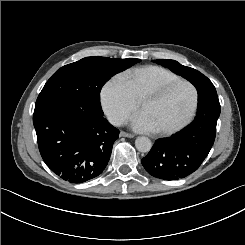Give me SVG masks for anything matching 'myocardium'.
I'll list each match as a JSON object with an SVG mask.
<instances>
[{
	"mask_svg": "<svg viewBox=\"0 0 245 245\" xmlns=\"http://www.w3.org/2000/svg\"><path fill=\"white\" fill-rule=\"evenodd\" d=\"M180 85H186L191 91L192 102H191L189 112L183 120H181L178 124L174 125L173 127L166 128V129H157L156 132L160 135H163V136L172 135L180 131L181 129H183L185 126H187L191 122V120L193 119L195 115L197 105H198V92L195 86L191 82L184 80V79H179L177 81L166 83L164 85L155 83V84H151L145 87L140 93V96L137 100V107H138L139 103H141L144 99H146L151 94L159 93L160 96L162 97Z\"/></svg>",
	"mask_w": 245,
	"mask_h": 245,
	"instance_id": "1",
	"label": "myocardium"
}]
</instances>
